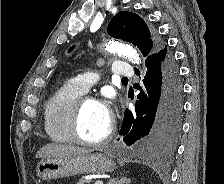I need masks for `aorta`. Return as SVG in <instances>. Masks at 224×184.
<instances>
[{"label":"aorta","instance_id":"762f6f07","mask_svg":"<svg viewBox=\"0 0 224 184\" xmlns=\"http://www.w3.org/2000/svg\"><path fill=\"white\" fill-rule=\"evenodd\" d=\"M106 47L109 51L116 52L126 56L131 62L135 64L141 63V60L137 51L133 47L127 44L119 43L117 41H110L106 45Z\"/></svg>","mask_w":224,"mask_h":184}]
</instances>
